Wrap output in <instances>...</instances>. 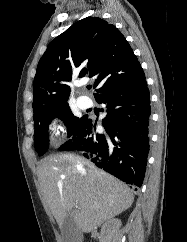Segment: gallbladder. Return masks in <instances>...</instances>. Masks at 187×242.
Masks as SVG:
<instances>
[{"label": "gallbladder", "mask_w": 187, "mask_h": 242, "mask_svg": "<svg viewBox=\"0 0 187 242\" xmlns=\"http://www.w3.org/2000/svg\"><path fill=\"white\" fill-rule=\"evenodd\" d=\"M62 242H80L81 233L77 228L73 218L66 217L62 226Z\"/></svg>", "instance_id": "1"}]
</instances>
